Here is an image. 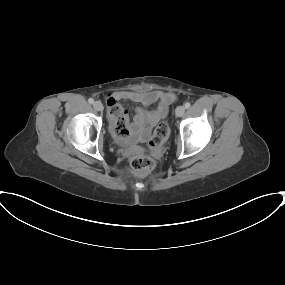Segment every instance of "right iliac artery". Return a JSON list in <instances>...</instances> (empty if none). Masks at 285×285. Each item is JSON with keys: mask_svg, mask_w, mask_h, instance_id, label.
<instances>
[{"mask_svg": "<svg viewBox=\"0 0 285 285\" xmlns=\"http://www.w3.org/2000/svg\"><path fill=\"white\" fill-rule=\"evenodd\" d=\"M88 102H89L90 104H93V103H94V100H93L92 98H89Z\"/></svg>", "mask_w": 285, "mask_h": 285, "instance_id": "82829eb1", "label": "right iliac artery"}]
</instances>
